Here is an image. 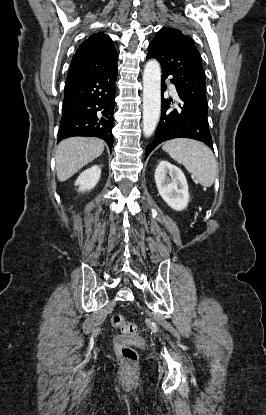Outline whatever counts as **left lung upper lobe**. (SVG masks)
<instances>
[{
	"mask_svg": "<svg viewBox=\"0 0 266 415\" xmlns=\"http://www.w3.org/2000/svg\"><path fill=\"white\" fill-rule=\"evenodd\" d=\"M147 55L158 60L162 73L172 75L177 89L207 115L205 72L193 40L178 29L164 27L150 43Z\"/></svg>",
	"mask_w": 266,
	"mask_h": 415,
	"instance_id": "1",
	"label": "left lung upper lobe"
}]
</instances>
